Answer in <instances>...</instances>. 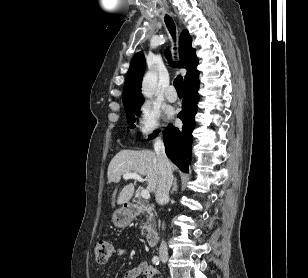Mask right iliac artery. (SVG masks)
<instances>
[{"label": "right iliac artery", "mask_w": 308, "mask_h": 278, "mask_svg": "<svg viewBox=\"0 0 308 278\" xmlns=\"http://www.w3.org/2000/svg\"><path fill=\"white\" fill-rule=\"evenodd\" d=\"M152 262H153V264H155V265H159V263H160L159 257H158V256H154V257L152 258Z\"/></svg>", "instance_id": "1"}]
</instances>
